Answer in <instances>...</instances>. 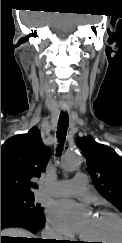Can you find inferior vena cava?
I'll return each mask as SVG.
<instances>
[{"label":"inferior vena cava","mask_w":122,"mask_h":243,"mask_svg":"<svg viewBox=\"0 0 122 243\" xmlns=\"http://www.w3.org/2000/svg\"><path fill=\"white\" fill-rule=\"evenodd\" d=\"M42 239H59V235L57 233H55L53 230H51L50 228H45L42 231Z\"/></svg>","instance_id":"602c4592"}]
</instances>
